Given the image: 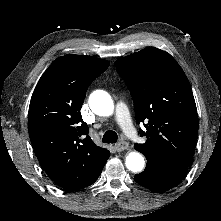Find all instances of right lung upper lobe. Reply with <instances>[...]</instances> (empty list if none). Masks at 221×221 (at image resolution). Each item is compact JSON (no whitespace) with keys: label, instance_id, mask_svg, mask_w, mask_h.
<instances>
[{"label":"right lung upper lobe","instance_id":"obj_1","mask_svg":"<svg viewBox=\"0 0 221 221\" xmlns=\"http://www.w3.org/2000/svg\"><path fill=\"white\" fill-rule=\"evenodd\" d=\"M109 65L91 56H61L51 63L33 92L29 137L46 173L64 189L93 184L110 156L92 141L80 113L88 86Z\"/></svg>","mask_w":221,"mask_h":221}]
</instances>
